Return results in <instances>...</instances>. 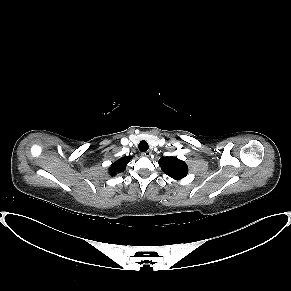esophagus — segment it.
Returning a JSON list of instances; mask_svg holds the SVG:
<instances>
[{"instance_id":"esophagus-1","label":"esophagus","mask_w":291,"mask_h":291,"mask_svg":"<svg viewBox=\"0 0 291 291\" xmlns=\"http://www.w3.org/2000/svg\"><path fill=\"white\" fill-rule=\"evenodd\" d=\"M142 155H143L144 157H150V156H151V151L143 152Z\"/></svg>"}]
</instances>
